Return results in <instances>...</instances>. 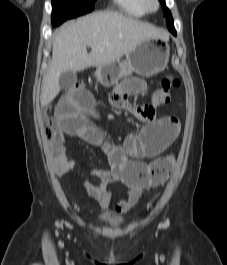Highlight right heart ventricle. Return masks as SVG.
I'll use <instances>...</instances> for the list:
<instances>
[{
	"instance_id": "1",
	"label": "right heart ventricle",
	"mask_w": 227,
	"mask_h": 265,
	"mask_svg": "<svg viewBox=\"0 0 227 265\" xmlns=\"http://www.w3.org/2000/svg\"><path fill=\"white\" fill-rule=\"evenodd\" d=\"M115 5L125 14L132 17H142L147 11L143 0H112Z\"/></svg>"
}]
</instances>
